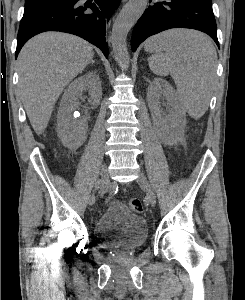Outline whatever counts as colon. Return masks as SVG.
<instances>
[{"label":"colon","instance_id":"colon-1","mask_svg":"<svg viewBox=\"0 0 245 300\" xmlns=\"http://www.w3.org/2000/svg\"><path fill=\"white\" fill-rule=\"evenodd\" d=\"M130 208L134 211V212H136V213H140V212H142L143 211V202H142V200L141 199H139V198H132L131 200H130Z\"/></svg>","mask_w":245,"mask_h":300}]
</instances>
